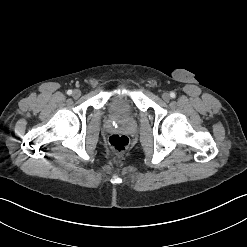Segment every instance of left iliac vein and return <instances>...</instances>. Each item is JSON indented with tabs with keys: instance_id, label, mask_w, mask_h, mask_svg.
Wrapping results in <instances>:
<instances>
[{
	"instance_id": "obj_1",
	"label": "left iliac vein",
	"mask_w": 247,
	"mask_h": 247,
	"mask_svg": "<svg viewBox=\"0 0 247 247\" xmlns=\"http://www.w3.org/2000/svg\"><path fill=\"white\" fill-rule=\"evenodd\" d=\"M162 98H163L164 101L168 102L170 100V94L167 93V92H164L162 94Z\"/></svg>"
}]
</instances>
